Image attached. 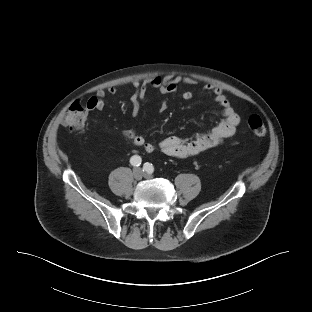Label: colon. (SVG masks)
<instances>
[{
	"mask_svg": "<svg viewBox=\"0 0 312 312\" xmlns=\"http://www.w3.org/2000/svg\"><path fill=\"white\" fill-rule=\"evenodd\" d=\"M88 114V108L84 104L73 102L67 109L62 124L70 130H81L85 126ZM248 128L257 137H262L266 134L265 124L258 115L250 116L248 119Z\"/></svg>",
	"mask_w": 312,
	"mask_h": 312,
	"instance_id": "5ec220e1",
	"label": "colon"
}]
</instances>
